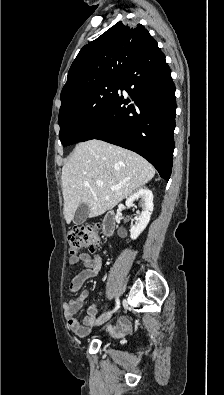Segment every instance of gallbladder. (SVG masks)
Masks as SVG:
<instances>
[{"instance_id":"1","label":"gallbladder","mask_w":224,"mask_h":395,"mask_svg":"<svg viewBox=\"0 0 224 395\" xmlns=\"http://www.w3.org/2000/svg\"><path fill=\"white\" fill-rule=\"evenodd\" d=\"M89 215V206L86 203H80L76 209V212L73 217V223L75 225L83 224Z\"/></svg>"}]
</instances>
